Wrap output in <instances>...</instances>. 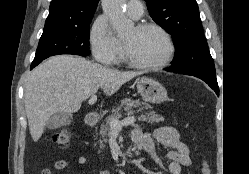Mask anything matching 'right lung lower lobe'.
<instances>
[{
  "instance_id": "98d812e1",
  "label": "right lung lower lobe",
  "mask_w": 249,
  "mask_h": 174,
  "mask_svg": "<svg viewBox=\"0 0 249 174\" xmlns=\"http://www.w3.org/2000/svg\"><path fill=\"white\" fill-rule=\"evenodd\" d=\"M39 63H40V61H38V62H32L30 69H33V68H34L35 66H37Z\"/></svg>"
}]
</instances>
